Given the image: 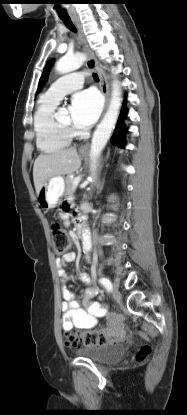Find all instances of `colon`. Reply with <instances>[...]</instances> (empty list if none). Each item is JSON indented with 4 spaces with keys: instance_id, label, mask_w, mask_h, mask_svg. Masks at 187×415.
<instances>
[{
    "instance_id": "5ec220e1",
    "label": "colon",
    "mask_w": 187,
    "mask_h": 415,
    "mask_svg": "<svg viewBox=\"0 0 187 415\" xmlns=\"http://www.w3.org/2000/svg\"><path fill=\"white\" fill-rule=\"evenodd\" d=\"M51 234L53 239L54 253L58 256L65 255L72 245L71 238L59 224H54L51 227ZM127 333L122 328H115L113 330H96L92 332L74 333L71 341L76 345H105L125 338ZM151 351L150 346L143 345L137 352V359L144 360Z\"/></svg>"
}]
</instances>
